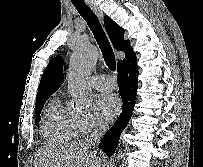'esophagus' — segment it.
I'll return each mask as SVG.
<instances>
[{
	"mask_svg": "<svg viewBox=\"0 0 203 167\" xmlns=\"http://www.w3.org/2000/svg\"><path fill=\"white\" fill-rule=\"evenodd\" d=\"M88 5L99 18H103V12L93 1L88 0Z\"/></svg>",
	"mask_w": 203,
	"mask_h": 167,
	"instance_id": "esophagus-1",
	"label": "esophagus"
}]
</instances>
